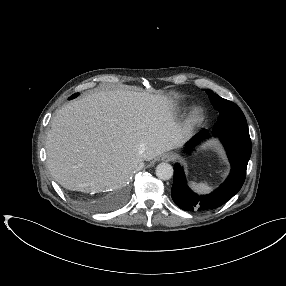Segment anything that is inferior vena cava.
Here are the masks:
<instances>
[{
	"instance_id": "obj_1",
	"label": "inferior vena cava",
	"mask_w": 286,
	"mask_h": 286,
	"mask_svg": "<svg viewBox=\"0 0 286 286\" xmlns=\"http://www.w3.org/2000/svg\"><path fill=\"white\" fill-rule=\"evenodd\" d=\"M142 166H143V163H142V162H139V163L137 164V166H136L135 169H139V168H141Z\"/></svg>"
}]
</instances>
